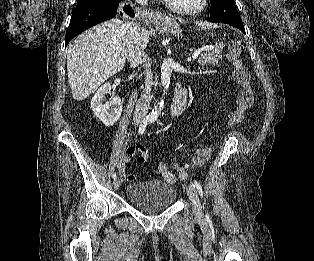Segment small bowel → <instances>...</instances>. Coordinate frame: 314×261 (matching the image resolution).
I'll list each match as a JSON object with an SVG mask.
<instances>
[{
	"instance_id": "small-bowel-1",
	"label": "small bowel",
	"mask_w": 314,
	"mask_h": 261,
	"mask_svg": "<svg viewBox=\"0 0 314 261\" xmlns=\"http://www.w3.org/2000/svg\"><path fill=\"white\" fill-rule=\"evenodd\" d=\"M175 116H179L181 112H173ZM137 155V161L141 163L138 158L139 156H144L145 159H147L148 154L143 145L136 144L131 147H129L123 156L119 160L118 170L120 173V177L123 181H132L135 179V176L128 174L125 171V165L133 158V156ZM174 166L176 167L179 175L181 178L187 177V170L184 169V167L181 165V163L178 160L173 161ZM158 172L162 176V178L171 184H175L177 182V176L174 175L168 168L167 164L165 162H160L158 164Z\"/></svg>"
}]
</instances>
